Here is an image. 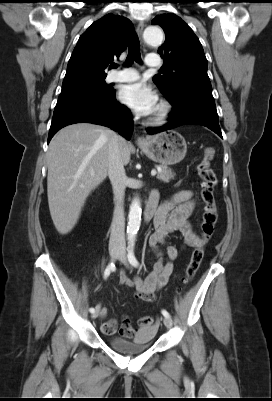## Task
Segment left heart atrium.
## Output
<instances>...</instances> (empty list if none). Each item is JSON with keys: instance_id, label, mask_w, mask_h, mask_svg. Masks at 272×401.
I'll list each match as a JSON object with an SVG mask.
<instances>
[{"instance_id": "1", "label": "left heart atrium", "mask_w": 272, "mask_h": 401, "mask_svg": "<svg viewBox=\"0 0 272 401\" xmlns=\"http://www.w3.org/2000/svg\"><path fill=\"white\" fill-rule=\"evenodd\" d=\"M120 101L136 114L147 116L157 108V95L145 83H132L123 86L119 91Z\"/></svg>"}]
</instances>
